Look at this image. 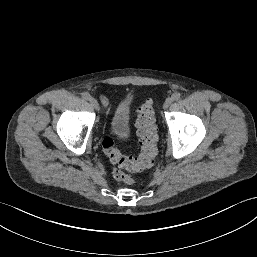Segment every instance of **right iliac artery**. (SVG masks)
<instances>
[{
    "label": "right iliac artery",
    "mask_w": 257,
    "mask_h": 257,
    "mask_svg": "<svg viewBox=\"0 0 257 257\" xmlns=\"http://www.w3.org/2000/svg\"><path fill=\"white\" fill-rule=\"evenodd\" d=\"M82 97H83L84 99H86V100H90V99H91V96H90V94H89L88 92H83V93H82Z\"/></svg>",
    "instance_id": "obj_1"
}]
</instances>
